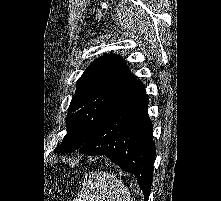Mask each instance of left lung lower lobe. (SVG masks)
Here are the masks:
<instances>
[{"instance_id":"left-lung-lower-lobe-1","label":"left lung lower lobe","mask_w":221,"mask_h":201,"mask_svg":"<svg viewBox=\"0 0 221 201\" xmlns=\"http://www.w3.org/2000/svg\"><path fill=\"white\" fill-rule=\"evenodd\" d=\"M78 151L89 156L104 155L122 170L134 174L148 201L155 144L145 88L141 86L116 104Z\"/></svg>"}]
</instances>
